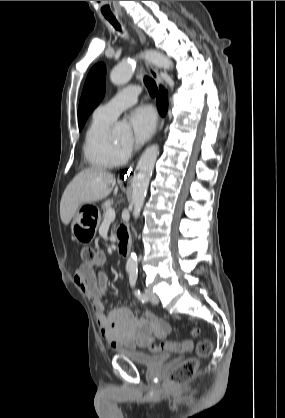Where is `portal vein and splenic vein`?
Returning a JSON list of instances; mask_svg holds the SVG:
<instances>
[{
    "instance_id": "18ae733b",
    "label": "portal vein and splenic vein",
    "mask_w": 285,
    "mask_h": 418,
    "mask_svg": "<svg viewBox=\"0 0 285 418\" xmlns=\"http://www.w3.org/2000/svg\"><path fill=\"white\" fill-rule=\"evenodd\" d=\"M115 210L113 208H109L105 215H104V222H112L115 219Z\"/></svg>"
}]
</instances>
